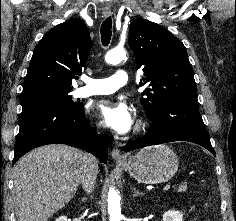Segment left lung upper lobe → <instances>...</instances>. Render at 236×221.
I'll list each match as a JSON object with an SVG mask.
<instances>
[{
    "label": "left lung upper lobe",
    "mask_w": 236,
    "mask_h": 221,
    "mask_svg": "<svg viewBox=\"0 0 236 221\" xmlns=\"http://www.w3.org/2000/svg\"><path fill=\"white\" fill-rule=\"evenodd\" d=\"M129 45L144 76L140 86L152 88L142 92L141 104L149 118L169 102L198 104L193 70L183 43L162 26L135 20L129 29Z\"/></svg>",
    "instance_id": "obj_1"
}]
</instances>
